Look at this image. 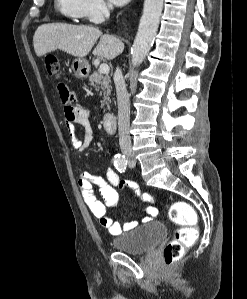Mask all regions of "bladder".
<instances>
[{"instance_id": "31cf9c89", "label": "bladder", "mask_w": 247, "mask_h": 299, "mask_svg": "<svg viewBox=\"0 0 247 299\" xmlns=\"http://www.w3.org/2000/svg\"><path fill=\"white\" fill-rule=\"evenodd\" d=\"M166 233L164 224L151 221L116 236L112 240V245L120 252L141 255L155 248L166 236Z\"/></svg>"}]
</instances>
